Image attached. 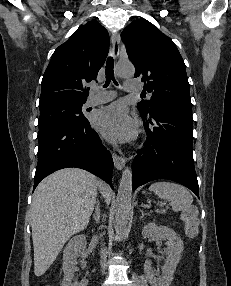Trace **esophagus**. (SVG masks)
Instances as JSON below:
<instances>
[{"label": "esophagus", "mask_w": 231, "mask_h": 286, "mask_svg": "<svg viewBox=\"0 0 231 286\" xmlns=\"http://www.w3.org/2000/svg\"><path fill=\"white\" fill-rule=\"evenodd\" d=\"M111 43H112V47H111L112 55L115 59H117L119 56V47H120V36L117 32L112 34ZM112 157H113V162H114L115 167L118 170H122L125 165L124 157L118 155L115 152L112 153Z\"/></svg>", "instance_id": "34e87169"}]
</instances>
